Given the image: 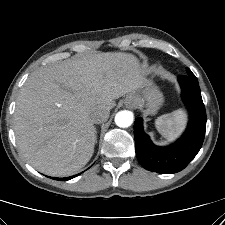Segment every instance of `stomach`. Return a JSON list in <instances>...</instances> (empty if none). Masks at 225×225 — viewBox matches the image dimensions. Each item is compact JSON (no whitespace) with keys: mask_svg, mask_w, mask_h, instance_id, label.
Segmentation results:
<instances>
[{"mask_svg":"<svg viewBox=\"0 0 225 225\" xmlns=\"http://www.w3.org/2000/svg\"><path fill=\"white\" fill-rule=\"evenodd\" d=\"M135 103L139 106H145L150 114H155L163 103V95L157 87L149 84L143 91V95L131 94Z\"/></svg>","mask_w":225,"mask_h":225,"instance_id":"obj_1","label":"stomach"}]
</instances>
